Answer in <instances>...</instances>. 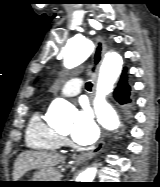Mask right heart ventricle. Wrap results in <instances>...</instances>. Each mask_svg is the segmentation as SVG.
<instances>
[{
    "instance_id": "1",
    "label": "right heart ventricle",
    "mask_w": 160,
    "mask_h": 187,
    "mask_svg": "<svg viewBox=\"0 0 160 187\" xmlns=\"http://www.w3.org/2000/svg\"><path fill=\"white\" fill-rule=\"evenodd\" d=\"M25 142L27 147L42 152H56L63 145L62 137L42 119L39 111L28 122Z\"/></svg>"
}]
</instances>
